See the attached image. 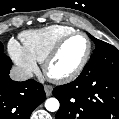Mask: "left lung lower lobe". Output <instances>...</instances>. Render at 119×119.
<instances>
[{
	"label": "left lung lower lobe",
	"instance_id": "obj_1",
	"mask_svg": "<svg viewBox=\"0 0 119 119\" xmlns=\"http://www.w3.org/2000/svg\"><path fill=\"white\" fill-rule=\"evenodd\" d=\"M56 119H119V50L109 45L90 58L79 77L57 86Z\"/></svg>",
	"mask_w": 119,
	"mask_h": 119
}]
</instances>
